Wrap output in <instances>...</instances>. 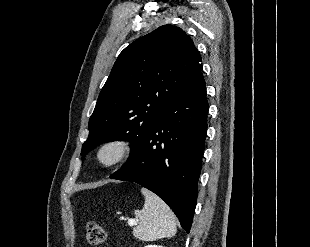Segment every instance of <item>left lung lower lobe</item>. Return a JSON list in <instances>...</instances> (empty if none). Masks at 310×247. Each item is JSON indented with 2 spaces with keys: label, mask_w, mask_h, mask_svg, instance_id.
Masks as SVG:
<instances>
[{
  "label": "left lung lower lobe",
  "mask_w": 310,
  "mask_h": 247,
  "mask_svg": "<svg viewBox=\"0 0 310 247\" xmlns=\"http://www.w3.org/2000/svg\"><path fill=\"white\" fill-rule=\"evenodd\" d=\"M207 114L206 85L200 73L166 107L139 150L110 176L157 194L187 233L196 207Z\"/></svg>",
  "instance_id": "obj_1"
}]
</instances>
